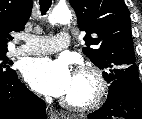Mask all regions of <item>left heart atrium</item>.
<instances>
[{
	"mask_svg": "<svg viewBox=\"0 0 142 119\" xmlns=\"http://www.w3.org/2000/svg\"><path fill=\"white\" fill-rule=\"evenodd\" d=\"M24 78L37 92L54 97L66 96L73 83V73L65 60L31 59L24 68Z\"/></svg>",
	"mask_w": 142,
	"mask_h": 119,
	"instance_id": "39dd6f15",
	"label": "left heart atrium"
}]
</instances>
